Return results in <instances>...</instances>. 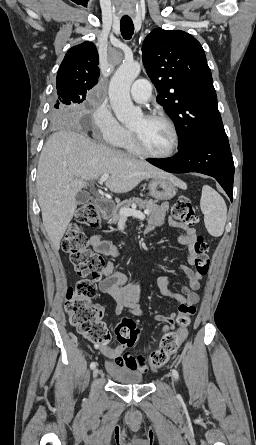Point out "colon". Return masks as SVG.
Returning <instances> with one entry per match:
<instances>
[{
  "mask_svg": "<svg viewBox=\"0 0 256 445\" xmlns=\"http://www.w3.org/2000/svg\"><path fill=\"white\" fill-rule=\"evenodd\" d=\"M195 208L187 197H180L171 212V222L176 227L191 226L197 223ZM100 224V214L96 203L87 202L77 213L75 223L67 231L62 241V250L69 255L75 272L83 277L75 286L70 287L65 300V309L70 316L71 325L76 331L92 343L105 345L110 341V332L101 320V307L94 303L97 295L94 280L102 275L104 260L100 255L88 249L87 229H96ZM195 256L193 264L197 272L206 274L210 257L208 245L198 236L194 245ZM88 277H91L88 278ZM194 306H184L180 309L177 323L180 329L165 334L158 349L150 354L152 369H158L167 364L170 356L183 341V329L191 323L195 315ZM116 336L122 345L132 346L139 339V329L134 320L125 318L116 329Z\"/></svg>",
  "mask_w": 256,
  "mask_h": 445,
  "instance_id": "5ec220e1",
  "label": "colon"
}]
</instances>
